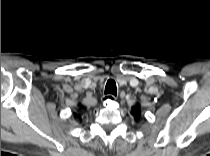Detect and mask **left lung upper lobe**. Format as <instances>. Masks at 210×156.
I'll list each match as a JSON object with an SVG mask.
<instances>
[{
    "instance_id": "5c2ea615",
    "label": "left lung upper lobe",
    "mask_w": 210,
    "mask_h": 156,
    "mask_svg": "<svg viewBox=\"0 0 210 156\" xmlns=\"http://www.w3.org/2000/svg\"><path fill=\"white\" fill-rule=\"evenodd\" d=\"M131 114L138 120L140 117V110L137 107H133Z\"/></svg>"
}]
</instances>
